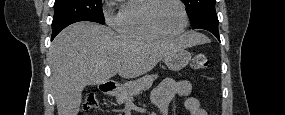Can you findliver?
<instances>
[{"instance_id":"1","label":"liver","mask_w":285,"mask_h":115,"mask_svg":"<svg viewBox=\"0 0 285 115\" xmlns=\"http://www.w3.org/2000/svg\"><path fill=\"white\" fill-rule=\"evenodd\" d=\"M201 43L205 42L195 32L155 40L119 35L90 22L68 26L56 36L49 50L58 115L78 114L85 86L104 84L116 74L136 78L174 51Z\"/></svg>"}]
</instances>
